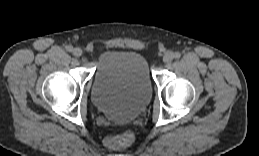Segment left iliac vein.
I'll return each instance as SVG.
<instances>
[{
	"label": "left iliac vein",
	"mask_w": 259,
	"mask_h": 156,
	"mask_svg": "<svg viewBox=\"0 0 259 156\" xmlns=\"http://www.w3.org/2000/svg\"><path fill=\"white\" fill-rule=\"evenodd\" d=\"M173 60V54L172 53H166L163 57L164 63H169Z\"/></svg>",
	"instance_id": "4c4485c4"
}]
</instances>
